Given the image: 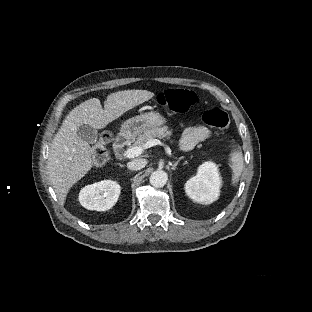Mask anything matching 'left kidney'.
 Returning <instances> with one entry per match:
<instances>
[{
	"mask_svg": "<svg viewBox=\"0 0 312 312\" xmlns=\"http://www.w3.org/2000/svg\"><path fill=\"white\" fill-rule=\"evenodd\" d=\"M221 184L218 167L207 161L198 167L196 176L186 182L185 192L194 202L211 204L218 199Z\"/></svg>",
	"mask_w": 312,
	"mask_h": 312,
	"instance_id": "5707ae66",
	"label": "left kidney"
}]
</instances>
